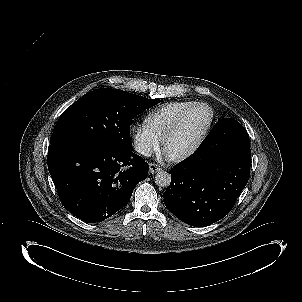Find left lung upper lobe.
I'll return each instance as SVG.
<instances>
[{"instance_id": "5c2ea615", "label": "left lung upper lobe", "mask_w": 302, "mask_h": 302, "mask_svg": "<svg viewBox=\"0 0 302 302\" xmlns=\"http://www.w3.org/2000/svg\"><path fill=\"white\" fill-rule=\"evenodd\" d=\"M249 136L245 128L231 118L221 119L202 143L200 150H208L217 146L221 154L238 153L241 148H248Z\"/></svg>"}]
</instances>
